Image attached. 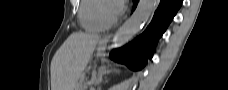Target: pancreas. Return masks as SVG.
<instances>
[{
  "mask_svg": "<svg viewBox=\"0 0 228 90\" xmlns=\"http://www.w3.org/2000/svg\"><path fill=\"white\" fill-rule=\"evenodd\" d=\"M86 88H87L86 82L84 81V79H81V80H79V82L77 83L75 89H76V90H86Z\"/></svg>",
  "mask_w": 228,
  "mask_h": 90,
  "instance_id": "pancreas-1",
  "label": "pancreas"
}]
</instances>
